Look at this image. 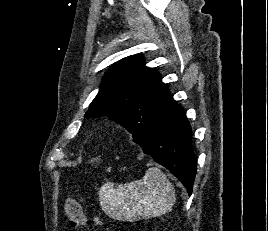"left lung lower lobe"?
Instances as JSON below:
<instances>
[{
    "mask_svg": "<svg viewBox=\"0 0 268 231\" xmlns=\"http://www.w3.org/2000/svg\"><path fill=\"white\" fill-rule=\"evenodd\" d=\"M136 143L145 154L176 176L191 195L196 160L192 149V130L179 104L176 103L153 130Z\"/></svg>",
    "mask_w": 268,
    "mask_h": 231,
    "instance_id": "left-lung-lower-lobe-1",
    "label": "left lung lower lobe"
}]
</instances>
